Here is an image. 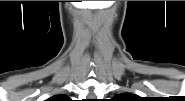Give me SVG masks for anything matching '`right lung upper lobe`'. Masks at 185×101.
<instances>
[{"label":"right lung upper lobe","instance_id":"cb5924a9","mask_svg":"<svg viewBox=\"0 0 185 101\" xmlns=\"http://www.w3.org/2000/svg\"><path fill=\"white\" fill-rule=\"evenodd\" d=\"M50 101H68L69 97L66 95H55L49 99Z\"/></svg>","mask_w":185,"mask_h":101}]
</instances>
